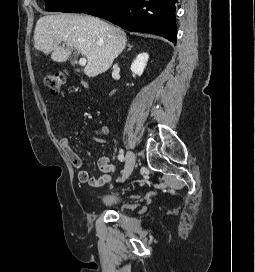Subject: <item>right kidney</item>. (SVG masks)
<instances>
[{"label": "right kidney", "instance_id": "obj_1", "mask_svg": "<svg viewBox=\"0 0 255 272\" xmlns=\"http://www.w3.org/2000/svg\"><path fill=\"white\" fill-rule=\"evenodd\" d=\"M148 58H149V55L147 53H141L139 54L136 59L132 62V65H131V71L138 75V76H141L145 67H146V64H147V61H148Z\"/></svg>", "mask_w": 255, "mask_h": 272}]
</instances>
